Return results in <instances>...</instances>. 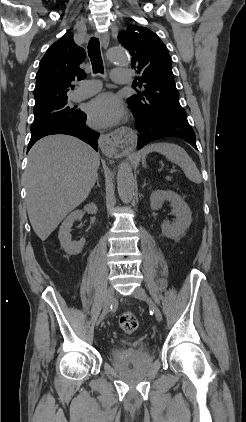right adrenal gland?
Returning a JSON list of instances; mask_svg holds the SVG:
<instances>
[{"mask_svg":"<svg viewBox=\"0 0 246 422\" xmlns=\"http://www.w3.org/2000/svg\"><path fill=\"white\" fill-rule=\"evenodd\" d=\"M96 183H97L96 187H100V184H99V178H98V176H97V178H96Z\"/></svg>","mask_w":246,"mask_h":422,"instance_id":"1","label":"right adrenal gland"}]
</instances>
